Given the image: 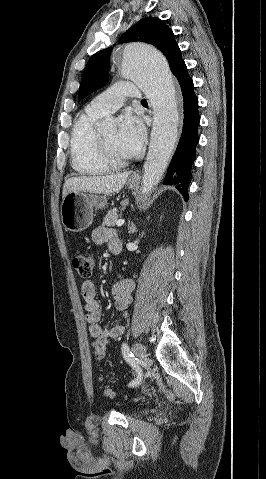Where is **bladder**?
Wrapping results in <instances>:
<instances>
[{
	"mask_svg": "<svg viewBox=\"0 0 266 479\" xmlns=\"http://www.w3.org/2000/svg\"><path fill=\"white\" fill-rule=\"evenodd\" d=\"M140 412L144 414V413H147L148 410L147 409H142Z\"/></svg>",
	"mask_w": 266,
	"mask_h": 479,
	"instance_id": "1",
	"label": "bladder"
}]
</instances>
